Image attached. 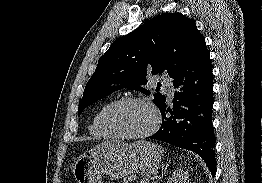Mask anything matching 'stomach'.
I'll return each instance as SVG.
<instances>
[{
  "label": "stomach",
  "instance_id": "obj_1",
  "mask_svg": "<svg viewBox=\"0 0 262 183\" xmlns=\"http://www.w3.org/2000/svg\"><path fill=\"white\" fill-rule=\"evenodd\" d=\"M163 157V149L149 141L124 143L107 140L77 158L73 176L77 183H103L102 175L118 179L133 173L155 172Z\"/></svg>",
  "mask_w": 262,
  "mask_h": 183
}]
</instances>
